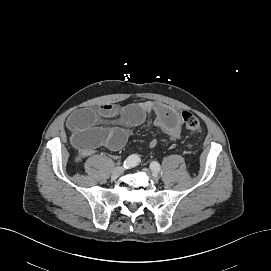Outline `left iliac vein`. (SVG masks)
I'll return each instance as SVG.
<instances>
[{"label": "left iliac vein", "instance_id": "left-iliac-vein-1", "mask_svg": "<svg viewBox=\"0 0 271 271\" xmlns=\"http://www.w3.org/2000/svg\"><path fill=\"white\" fill-rule=\"evenodd\" d=\"M143 171H144L147 175H149L154 181H158L159 178H158L157 173L151 171V170L148 169V168H144Z\"/></svg>", "mask_w": 271, "mask_h": 271}]
</instances>
